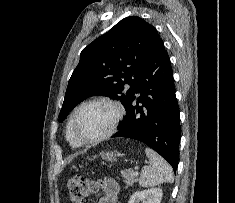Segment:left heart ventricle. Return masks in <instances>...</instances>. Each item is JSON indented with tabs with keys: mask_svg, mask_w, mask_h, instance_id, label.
<instances>
[{
	"mask_svg": "<svg viewBox=\"0 0 235 203\" xmlns=\"http://www.w3.org/2000/svg\"><path fill=\"white\" fill-rule=\"evenodd\" d=\"M115 109L107 103L99 102L85 106L77 118V130L87 139L104 134L112 125Z\"/></svg>",
	"mask_w": 235,
	"mask_h": 203,
	"instance_id": "obj_1",
	"label": "left heart ventricle"
}]
</instances>
